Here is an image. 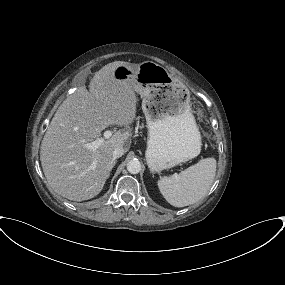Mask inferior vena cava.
<instances>
[{
    "label": "inferior vena cava",
    "mask_w": 285,
    "mask_h": 285,
    "mask_svg": "<svg viewBox=\"0 0 285 285\" xmlns=\"http://www.w3.org/2000/svg\"><path fill=\"white\" fill-rule=\"evenodd\" d=\"M125 150L123 149V147H116L113 150V158L117 159L119 157H121L124 154Z\"/></svg>",
    "instance_id": "1"
}]
</instances>
